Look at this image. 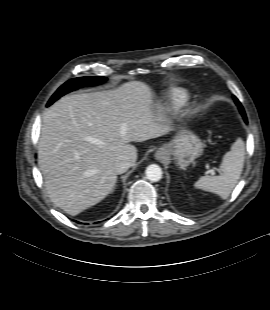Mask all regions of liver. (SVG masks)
Segmentation results:
<instances>
[{"mask_svg": "<svg viewBox=\"0 0 270 310\" xmlns=\"http://www.w3.org/2000/svg\"><path fill=\"white\" fill-rule=\"evenodd\" d=\"M170 125L141 81L64 96L46 111L38 144L51 201L72 216L96 205L116 184L118 157L126 155L135 165L137 149L131 142L165 135Z\"/></svg>", "mask_w": 270, "mask_h": 310, "instance_id": "liver-1", "label": "liver"}]
</instances>
